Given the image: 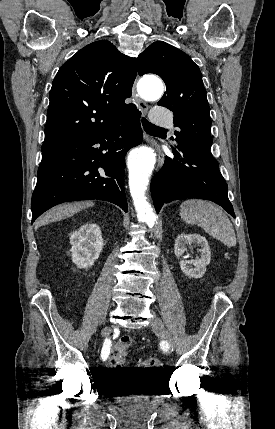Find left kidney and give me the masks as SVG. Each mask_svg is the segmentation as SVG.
Returning a JSON list of instances; mask_svg holds the SVG:
<instances>
[{
    "mask_svg": "<svg viewBox=\"0 0 275 429\" xmlns=\"http://www.w3.org/2000/svg\"><path fill=\"white\" fill-rule=\"evenodd\" d=\"M192 243L200 246V257L192 260L180 259V268L190 278H201L205 274L206 266L210 263L211 259L210 247L205 237L199 234L181 233L175 240L174 252L179 259L186 251V246Z\"/></svg>",
    "mask_w": 275,
    "mask_h": 429,
    "instance_id": "left-kidney-1",
    "label": "left kidney"
}]
</instances>
